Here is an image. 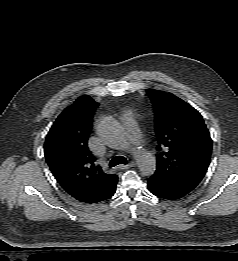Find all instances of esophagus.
I'll return each instance as SVG.
<instances>
[{
  "mask_svg": "<svg viewBox=\"0 0 238 261\" xmlns=\"http://www.w3.org/2000/svg\"><path fill=\"white\" fill-rule=\"evenodd\" d=\"M135 165H136V163L131 161V162H129L126 165H119L118 169H120V170L129 169V168H131V167H133Z\"/></svg>",
  "mask_w": 238,
  "mask_h": 261,
  "instance_id": "esophagus-1",
  "label": "esophagus"
}]
</instances>
